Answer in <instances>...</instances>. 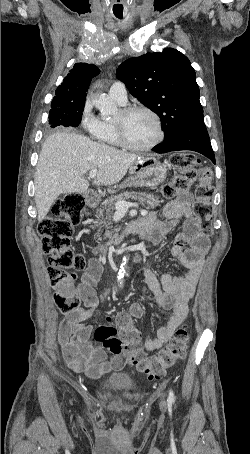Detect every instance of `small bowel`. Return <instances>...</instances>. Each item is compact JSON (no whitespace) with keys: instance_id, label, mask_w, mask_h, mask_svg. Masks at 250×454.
Wrapping results in <instances>:
<instances>
[{"instance_id":"obj_1","label":"small bowel","mask_w":250,"mask_h":454,"mask_svg":"<svg viewBox=\"0 0 250 454\" xmlns=\"http://www.w3.org/2000/svg\"><path fill=\"white\" fill-rule=\"evenodd\" d=\"M191 201L189 193L182 194L165 206L161 221L149 216L135 226L143 239L159 242L176 226L178 220L183 219L184 232L176 238L171 253L180 260L187 272L181 276L163 274L160 280L149 269H144L143 272L147 291L154 295L161 308L173 312L171 318L158 330L156 337L145 340L144 348L149 352L162 348L187 317L188 301L195 292L204 265V256L209 247L208 238L200 232L197 221L190 215ZM186 245L189 247L186 248ZM101 273L100 262L91 259L76 289L85 309L80 308L66 314L59 324L57 336L68 367L90 379L99 378L111 370H120L125 365L123 356H108L101 347L93 345L90 341L93 326L82 323L96 314L99 301L95 286ZM123 314L140 318L144 314V307L141 303H135L128 313H119L117 319Z\"/></svg>"}]
</instances>
